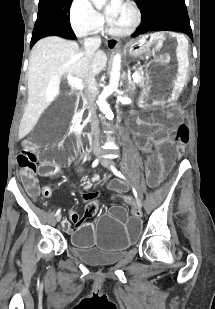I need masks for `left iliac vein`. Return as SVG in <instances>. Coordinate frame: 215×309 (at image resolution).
Masks as SVG:
<instances>
[{
  "label": "left iliac vein",
  "mask_w": 215,
  "mask_h": 309,
  "mask_svg": "<svg viewBox=\"0 0 215 309\" xmlns=\"http://www.w3.org/2000/svg\"><path fill=\"white\" fill-rule=\"evenodd\" d=\"M102 165L103 166H106L107 165V162L105 160H102ZM136 211H141V202L140 201H137V206L135 208Z\"/></svg>",
  "instance_id": "1"
}]
</instances>
